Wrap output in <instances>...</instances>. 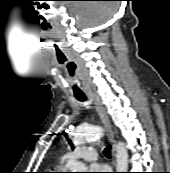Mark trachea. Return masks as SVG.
<instances>
[{
  "label": "trachea",
  "mask_w": 170,
  "mask_h": 173,
  "mask_svg": "<svg viewBox=\"0 0 170 173\" xmlns=\"http://www.w3.org/2000/svg\"><path fill=\"white\" fill-rule=\"evenodd\" d=\"M75 97L79 101H85L86 100V96L84 94H75ZM103 153L106 157H110L111 156V146H107L104 149Z\"/></svg>",
  "instance_id": "3493384b"
}]
</instances>
